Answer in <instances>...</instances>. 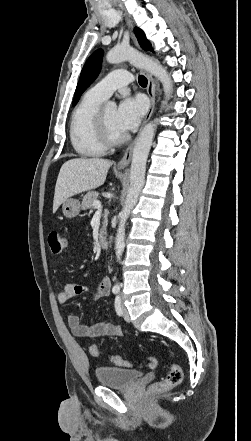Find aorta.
I'll list each match as a JSON object with an SVG mask.
<instances>
[{
	"mask_svg": "<svg viewBox=\"0 0 251 441\" xmlns=\"http://www.w3.org/2000/svg\"><path fill=\"white\" fill-rule=\"evenodd\" d=\"M106 59L109 63H119L122 61H130L133 65L141 67L154 75L162 83L164 94L167 99L172 93V80L166 69L153 59L139 54L130 47H116L107 53ZM107 107L116 108L115 102H108ZM156 124L148 123L140 132V135L134 145L133 156L130 168V186L127 192L125 205L119 213V226L115 238V250L117 261L121 260L125 248V224L136 205L139 194L144 185L145 170L148 154L155 136ZM118 287V284L116 285Z\"/></svg>",
	"mask_w": 251,
	"mask_h": 441,
	"instance_id": "obj_1",
	"label": "aorta"
}]
</instances>
